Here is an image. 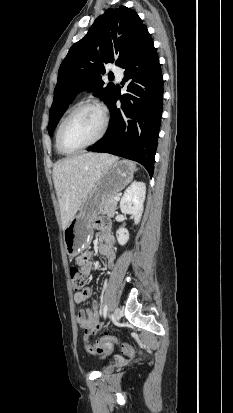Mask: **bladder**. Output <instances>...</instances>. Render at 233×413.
Listing matches in <instances>:
<instances>
[{"mask_svg": "<svg viewBox=\"0 0 233 413\" xmlns=\"http://www.w3.org/2000/svg\"><path fill=\"white\" fill-rule=\"evenodd\" d=\"M113 370H114V365H108L102 370V372L105 374H108V373L113 372Z\"/></svg>", "mask_w": 233, "mask_h": 413, "instance_id": "bladder-1", "label": "bladder"}]
</instances>
